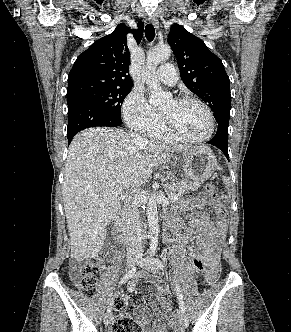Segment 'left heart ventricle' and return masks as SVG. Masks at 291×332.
Masks as SVG:
<instances>
[{"instance_id":"left-heart-ventricle-1","label":"left heart ventricle","mask_w":291,"mask_h":332,"mask_svg":"<svg viewBox=\"0 0 291 332\" xmlns=\"http://www.w3.org/2000/svg\"><path fill=\"white\" fill-rule=\"evenodd\" d=\"M161 112L179 132L187 136L202 137L208 132V117L194 102L179 103L171 99L162 105Z\"/></svg>"}]
</instances>
